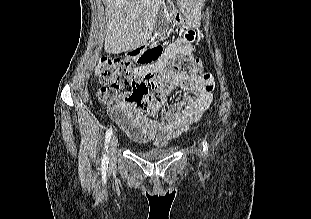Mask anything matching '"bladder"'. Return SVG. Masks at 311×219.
<instances>
[{"label": "bladder", "mask_w": 311, "mask_h": 219, "mask_svg": "<svg viewBox=\"0 0 311 219\" xmlns=\"http://www.w3.org/2000/svg\"><path fill=\"white\" fill-rule=\"evenodd\" d=\"M178 148L176 146H157L141 151V156L145 159L159 160L173 155Z\"/></svg>", "instance_id": "obj_1"}]
</instances>
